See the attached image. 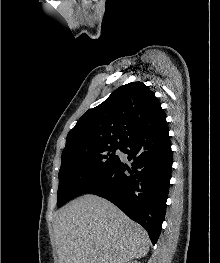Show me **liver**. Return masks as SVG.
Returning <instances> with one entry per match:
<instances>
[{"mask_svg":"<svg viewBox=\"0 0 220 263\" xmlns=\"http://www.w3.org/2000/svg\"><path fill=\"white\" fill-rule=\"evenodd\" d=\"M53 229L58 263H126L149 251L147 231L95 195L81 196L58 210Z\"/></svg>","mask_w":220,"mask_h":263,"instance_id":"liver-1","label":"liver"}]
</instances>
